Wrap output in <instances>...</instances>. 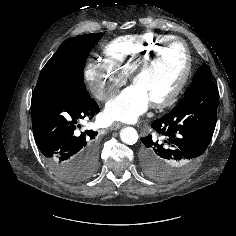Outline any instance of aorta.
Returning <instances> with one entry per match:
<instances>
[{
    "label": "aorta",
    "mask_w": 236,
    "mask_h": 236,
    "mask_svg": "<svg viewBox=\"0 0 236 236\" xmlns=\"http://www.w3.org/2000/svg\"><path fill=\"white\" fill-rule=\"evenodd\" d=\"M120 139L128 145H133L138 141V133L133 127H125L120 131Z\"/></svg>",
    "instance_id": "762f6f07"
}]
</instances>
